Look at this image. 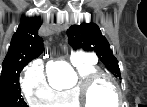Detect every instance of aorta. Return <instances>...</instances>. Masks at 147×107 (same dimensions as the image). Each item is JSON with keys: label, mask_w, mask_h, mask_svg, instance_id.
<instances>
[{"label": "aorta", "mask_w": 147, "mask_h": 107, "mask_svg": "<svg viewBox=\"0 0 147 107\" xmlns=\"http://www.w3.org/2000/svg\"><path fill=\"white\" fill-rule=\"evenodd\" d=\"M46 72L51 84L55 86H68L75 81V72L65 61L48 62Z\"/></svg>", "instance_id": "1"}]
</instances>
